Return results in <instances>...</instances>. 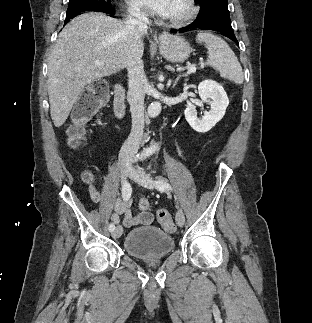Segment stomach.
<instances>
[{
  "label": "stomach",
  "instance_id": "1",
  "mask_svg": "<svg viewBox=\"0 0 312 323\" xmlns=\"http://www.w3.org/2000/svg\"><path fill=\"white\" fill-rule=\"evenodd\" d=\"M159 48L160 54L165 60L176 62V64L185 62L192 52V48H190L183 36H171V34L160 38Z\"/></svg>",
  "mask_w": 312,
  "mask_h": 323
}]
</instances>
